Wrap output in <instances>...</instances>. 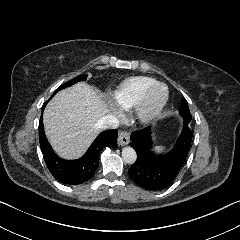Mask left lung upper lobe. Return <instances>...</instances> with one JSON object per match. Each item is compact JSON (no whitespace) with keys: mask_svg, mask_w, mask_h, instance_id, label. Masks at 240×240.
Listing matches in <instances>:
<instances>
[{"mask_svg":"<svg viewBox=\"0 0 240 240\" xmlns=\"http://www.w3.org/2000/svg\"><path fill=\"white\" fill-rule=\"evenodd\" d=\"M181 115L183 116L184 118V121L189 123L191 121V114H190V110H189V107H188V104H187V101L185 100V98H183L181 100V106H180V109H179Z\"/></svg>","mask_w":240,"mask_h":240,"instance_id":"1","label":"left lung upper lobe"}]
</instances>
